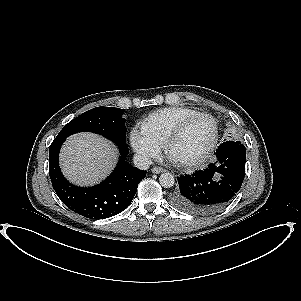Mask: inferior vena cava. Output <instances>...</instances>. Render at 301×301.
I'll return each instance as SVG.
<instances>
[{
	"label": "inferior vena cava",
	"mask_w": 301,
	"mask_h": 301,
	"mask_svg": "<svg viewBox=\"0 0 301 301\" xmlns=\"http://www.w3.org/2000/svg\"><path fill=\"white\" fill-rule=\"evenodd\" d=\"M133 164L140 170H147L152 164V160L148 156L135 154L133 157Z\"/></svg>",
	"instance_id": "1"
}]
</instances>
